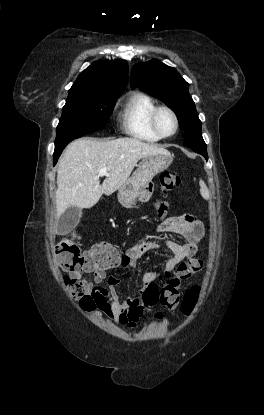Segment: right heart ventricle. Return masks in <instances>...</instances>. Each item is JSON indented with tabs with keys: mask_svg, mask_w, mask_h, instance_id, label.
I'll return each instance as SVG.
<instances>
[{
	"mask_svg": "<svg viewBox=\"0 0 264 415\" xmlns=\"http://www.w3.org/2000/svg\"><path fill=\"white\" fill-rule=\"evenodd\" d=\"M157 106L155 101L143 93H134L122 104L121 124L127 135L134 139L156 143L160 138L150 127L149 117Z\"/></svg>",
	"mask_w": 264,
	"mask_h": 415,
	"instance_id": "e07e8e85",
	"label": "right heart ventricle"
}]
</instances>
